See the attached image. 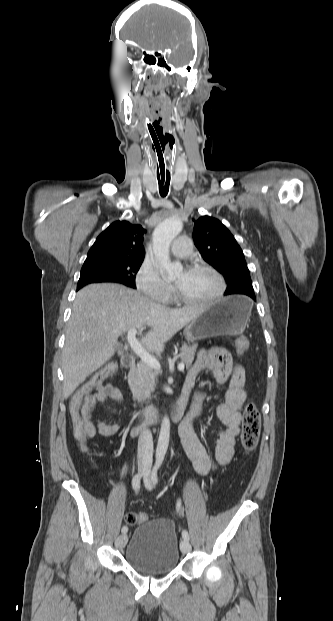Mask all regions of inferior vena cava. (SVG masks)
Wrapping results in <instances>:
<instances>
[{
  "label": "inferior vena cava",
  "mask_w": 333,
  "mask_h": 621,
  "mask_svg": "<svg viewBox=\"0 0 333 621\" xmlns=\"http://www.w3.org/2000/svg\"><path fill=\"white\" fill-rule=\"evenodd\" d=\"M138 462L148 465L153 462V438L148 428L143 429L138 438Z\"/></svg>",
  "instance_id": "inferior-vena-cava-1"
}]
</instances>
